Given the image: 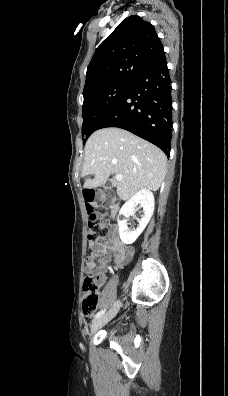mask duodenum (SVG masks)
Returning a JSON list of instances; mask_svg holds the SVG:
<instances>
[{
	"label": "duodenum",
	"instance_id": "obj_1",
	"mask_svg": "<svg viewBox=\"0 0 228 396\" xmlns=\"http://www.w3.org/2000/svg\"><path fill=\"white\" fill-rule=\"evenodd\" d=\"M118 209H119L118 204H114L113 207H112V212H113V214H116L117 211H118Z\"/></svg>",
	"mask_w": 228,
	"mask_h": 396
}]
</instances>
